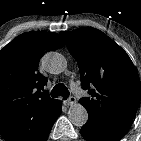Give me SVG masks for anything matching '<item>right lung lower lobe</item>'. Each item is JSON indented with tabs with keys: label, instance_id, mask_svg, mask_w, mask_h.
<instances>
[{
	"label": "right lung lower lobe",
	"instance_id": "1",
	"mask_svg": "<svg viewBox=\"0 0 141 141\" xmlns=\"http://www.w3.org/2000/svg\"><path fill=\"white\" fill-rule=\"evenodd\" d=\"M62 105L57 103L48 110L39 111L23 119L6 134V141H46L49 132L61 113Z\"/></svg>",
	"mask_w": 141,
	"mask_h": 141
}]
</instances>
